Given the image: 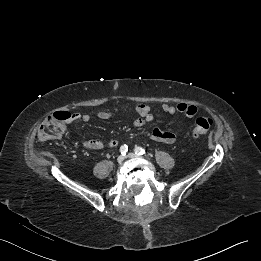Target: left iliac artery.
I'll return each instance as SVG.
<instances>
[{"instance_id":"obj_1","label":"left iliac artery","mask_w":261,"mask_h":261,"mask_svg":"<svg viewBox=\"0 0 261 261\" xmlns=\"http://www.w3.org/2000/svg\"><path fill=\"white\" fill-rule=\"evenodd\" d=\"M134 151H135V153L138 154V155H143V154H145V150H144L143 148H141V147H136V148L134 149Z\"/></svg>"}]
</instances>
